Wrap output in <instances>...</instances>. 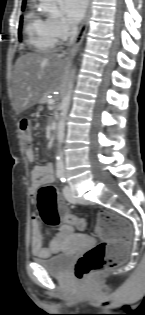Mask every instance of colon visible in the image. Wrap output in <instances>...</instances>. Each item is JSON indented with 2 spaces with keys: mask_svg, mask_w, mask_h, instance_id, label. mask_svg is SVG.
Instances as JSON below:
<instances>
[{
  "mask_svg": "<svg viewBox=\"0 0 145 315\" xmlns=\"http://www.w3.org/2000/svg\"><path fill=\"white\" fill-rule=\"evenodd\" d=\"M22 142L31 143L32 125L28 118L20 120ZM38 208L42 220L51 226L65 222L79 229L86 227L85 221L72 216L57 190L51 185H43L38 190ZM96 233L101 242L84 253L75 265V275L79 280L91 281L103 272L117 267L126 255L132 237L130 223L112 211L103 210L97 217Z\"/></svg>",
  "mask_w": 145,
  "mask_h": 315,
  "instance_id": "1",
  "label": "colon"
}]
</instances>
